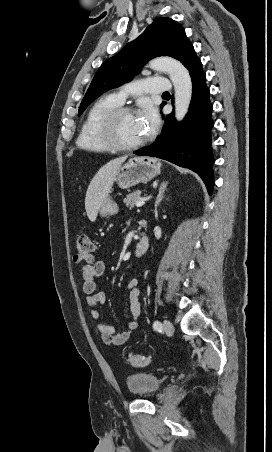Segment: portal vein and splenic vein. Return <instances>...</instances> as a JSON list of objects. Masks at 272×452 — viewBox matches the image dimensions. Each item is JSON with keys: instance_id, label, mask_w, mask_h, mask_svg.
I'll return each instance as SVG.
<instances>
[{"instance_id": "portal-vein-and-splenic-vein-1", "label": "portal vein and splenic vein", "mask_w": 272, "mask_h": 452, "mask_svg": "<svg viewBox=\"0 0 272 452\" xmlns=\"http://www.w3.org/2000/svg\"><path fill=\"white\" fill-rule=\"evenodd\" d=\"M146 198H143L135 203L136 207H141L145 204Z\"/></svg>"}]
</instances>
